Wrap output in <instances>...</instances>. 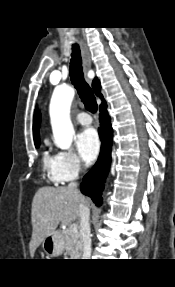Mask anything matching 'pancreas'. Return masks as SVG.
<instances>
[{"label": "pancreas", "mask_w": 175, "mask_h": 287, "mask_svg": "<svg viewBox=\"0 0 175 287\" xmlns=\"http://www.w3.org/2000/svg\"><path fill=\"white\" fill-rule=\"evenodd\" d=\"M63 236L65 239V250L72 258H77L80 256L81 252V242L79 240L78 232H71L69 229L63 231Z\"/></svg>", "instance_id": "obj_1"}]
</instances>
